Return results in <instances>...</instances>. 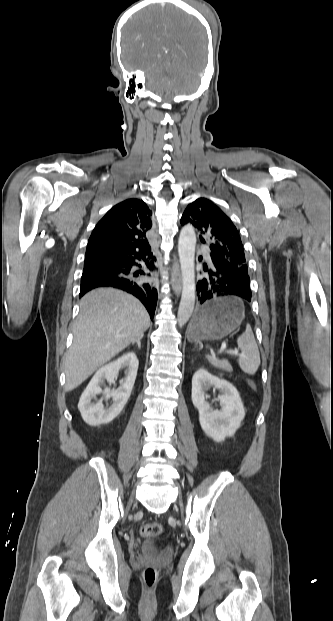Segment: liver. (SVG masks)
Returning <instances> with one entry per match:
<instances>
[{
    "label": "liver",
    "instance_id": "obj_1",
    "mask_svg": "<svg viewBox=\"0 0 333 621\" xmlns=\"http://www.w3.org/2000/svg\"><path fill=\"white\" fill-rule=\"evenodd\" d=\"M150 325L145 307L114 288H97L81 299L72 346L64 356L66 390L71 391L95 370L143 337Z\"/></svg>",
    "mask_w": 333,
    "mask_h": 621
}]
</instances>
